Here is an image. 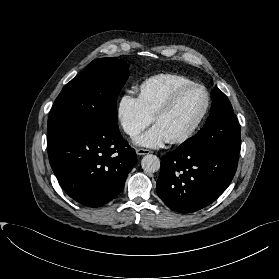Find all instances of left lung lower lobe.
Returning <instances> with one entry per match:
<instances>
[{
	"instance_id": "1",
	"label": "left lung lower lobe",
	"mask_w": 279,
	"mask_h": 279,
	"mask_svg": "<svg viewBox=\"0 0 279 279\" xmlns=\"http://www.w3.org/2000/svg\"><path fill=\"white\" fill-rule=\"evenodd\" d=\"M237 163L238 154L222 148H177L161 160L158 196L176 212L203 209L227 189Z\"/></svg>"
}]
</instances>
